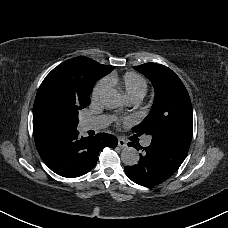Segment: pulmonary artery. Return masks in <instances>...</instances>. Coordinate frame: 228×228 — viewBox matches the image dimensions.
I'll return each mask as SVG.
<instances>
[{"mask_svg":"<svg viewBox=\"0 0 228 228\" xmlns=\"http://www.w3.org/2000/svg\"><path fill=\"white\" fill-rule=\"evenodd\" d=\"M139 102V98H131L130 103L132 105H136ZM113 120L110 117H93L91 120L86 121L85 126L86 128H93V129H107L112 127ZM149 143V139L145 141L147 145Z\"/></svg>","mask_w":228,"mask_h":228,"instance_id":"e3ab8cb5","label":"pulmonary artery"}]
</instances>
